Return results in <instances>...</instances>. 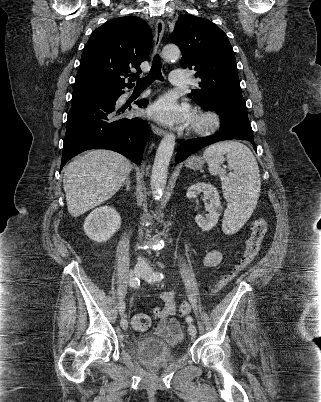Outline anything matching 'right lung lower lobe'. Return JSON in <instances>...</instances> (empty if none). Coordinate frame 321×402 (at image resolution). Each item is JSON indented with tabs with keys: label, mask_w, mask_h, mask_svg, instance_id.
Listing matches in <instances>:
<instances>
[{
	"label": "right lung lower lobe",
	"mask_w": 321,
	"mask_h": 402,
	"mask_svg": "<svg viewBox=\"0 0 321 402\" xmlns=\"http://www.w3.org/2000/svg\"><path fill=\"white\" fill-rule=\"evenodd\" d=\"M124 93L117 89L108 100L82 98L71 101L64 138L61 169L75 155L89 149L116 151L136 164L142 160L149 136L147 121L124 118L123 110L116 108V101ZM146 106L145 99L136 104Z\"/></svg>",
	"instance_id": "1"
}]
</instances>
